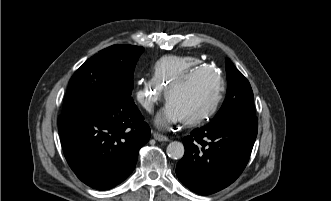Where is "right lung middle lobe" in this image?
I'll list each match as a JSON object with an SVG mask.
<instances>
[{"mask_svg":"<svg viewBox=\"0 0 331 201\" xmlns=\"http://www.w3.org/2000/svg\"><path fill=\"white\" fill-rule=\"evenodd\" d=\"M143 47L113 45L88 59L72 76L62 114L131 96L133 72Z\"/></svg>","mask_w":331,"mask_h":201,"instance_id":"obj_1","label":"right lung middle lobe"}]
</instances>
